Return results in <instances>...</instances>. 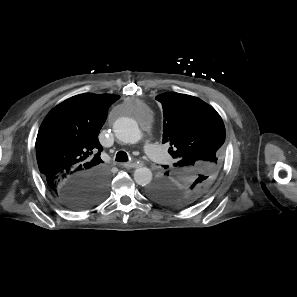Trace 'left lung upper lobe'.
I'll return each instance as SVG.
<instances>
[{
    "label": "left lung upper lobe",
    "mask_w": 297,
    "mask_h": 297,
    "mask_svg": "<svg viewBox=\"0 0 297 297\" xmlns=\"http://www.w3.org/2000/svg\"><path fill=\"white\" fill-rule=\"evenodd\" d=\"M163 108V141L175 159L148 189L154 200L185 207L214 183L222 164L225 127L214 108L199 98L175 92L156 96Z\"/></svg>",
    "instance_id": "5c2ea615"
}]
</instances>
